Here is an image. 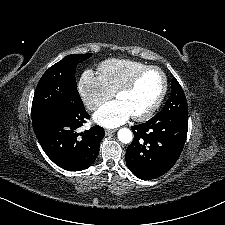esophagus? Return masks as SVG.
Here are the masks:
<instances>
[{
  "mask_svg": "<svg viewBox=\"0 0 225 225\" xmlns=\"http://www.w3.org/2000/svg\"><path fill=\"white\" fill-rule=\"evenodd\" d=\"M116 131H117V129H106V130H105V134H106V135H110V134L115 133Z\"/></svg>",
  "mask_w": 225,
  "mask_h": 225,
  "instance_id": "34e87169",
  "label": "esophagus"
}]
</instances>
